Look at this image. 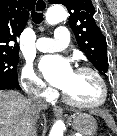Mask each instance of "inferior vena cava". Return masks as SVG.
Masks as SVG:
<instances>
[{"label":"inferior vena cava","mask_w":117,"mask_h":136,"mask_svg":"<svg viewBox=\"0 0 117 136\" xmlns=\"http://www.w3.org/2000/svg\"><path fill=\"white\" fill-rule=\"evenodd\" d=\"M29 102L32 104L34 109H31V113L29 114L30 118H29L27 136H38L37 126L39 121V114L41 110L47 109V103L39 95H32L29 98Z\"/></svg>","instance_id":"1"}]
</instances>
